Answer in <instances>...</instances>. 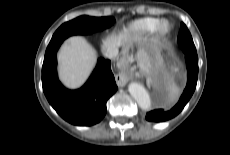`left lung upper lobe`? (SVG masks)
Instances as JSON below:
<instances>
[{
	"instance_id": "left-lung-upper-lobe-1",
	"label": "left lung upper lobe",
	"mask_w": 230,
	"mask_h": 155,
	"mask_svg": "<svg viewBox=\"0 0 230 155\" xmlns=\"http://www.w3.org/2000/svg\"><path fill=\"white\" fill-rule=\"evenodd\" d=\"M178 44L182 50L195 48L192 36L184 23H181V29L178 35Z\"/></svg>"
}]
</instances>
